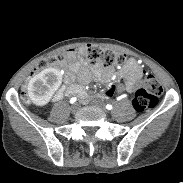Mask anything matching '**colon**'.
Returning a JSON list of instances; mask_svg holds the SVG:
<instances>
[{
	"label": "colon",
	"mask_w": 183,
	"mask_h": 183,
	"mask_svg": "<svg viewBox=\"0 0 183 183\" xmlns=\"http://www.w3.org/2000/svg\"><path fill=\"white\" fill-rule=\"evenodd\" d=\"M81 55L84 59L92 64H101L104 66H114L123 64L126 61V56L122 53L103 48L98 45H84L78 50H66L52 54L42 59L36 66V71H43L49 67L73 64L76 62L77 56ZM126 90L124 84H111L107 89V94L110 97L121 95ZM162 93L160 82L152 75L145 78L144 86L139 88L133 99V107L136 111H144L156 106L158 97Z\"/></svg>",
	"instance_id": "5ec220e1"
}]
</instances>
